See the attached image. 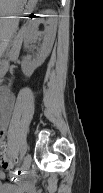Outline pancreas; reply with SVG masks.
Listing matches in <instances>:
<instances>
[{"label":"pancreas","instance_id":"cf45deb5","mask_svg":"<svg viewBox=\"0 0 103 193\" xmlns=\"http://www.w3.org/2000/svg\"><path fill=\"white\" fill-rule=\"evenodd\" d=\"M11 25L14 27H17L18 21H16V20L12 21ZM21 43H22V38H19V36H16L14 41H13V46H12L11 51H10L11 57L18 54V52L20 50Z\"/></svg>","mask_w":103,"mask_h":193}]
</instances>
